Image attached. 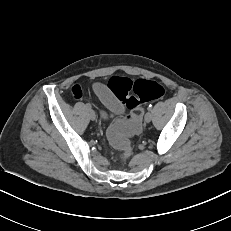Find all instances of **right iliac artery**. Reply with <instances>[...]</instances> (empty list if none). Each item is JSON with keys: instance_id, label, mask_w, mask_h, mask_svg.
<instances>
[{"instance_id": "82829eb1", "label": "right iliac artery", "mask_w": 231, "mask_h": 231, "mask_svg": "<svg viewBox=\"0 0 231 231\" xmlns=\"http://www.w3.org/2000/svg\"><path fill=\"white\" fill-rule=\"evenodd\" d=\"M86 107H87L88 110L91 109V105L89 103L86 104Z\"/></svg>"}]
</instances>
